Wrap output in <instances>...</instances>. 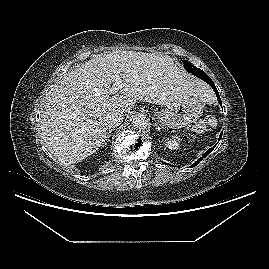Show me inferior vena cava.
I'll return each mask as SVG.
<instances>
[{"label":"inferior vena cava","mask_w":269,"mask_h":269,"mask_svg":"<svg viewBox=\"0 0 269 269\" xmlns=\"http://www.w3.org/2000/svg\"><path fill=\"white\" fill-rule=\"evenodd\" d=\"M124 113L121 111H114L107 115L106 122L109 128H114L120 125L123 121Z\"/></svg>","instance_id":"obj_1"}]
</instances>
